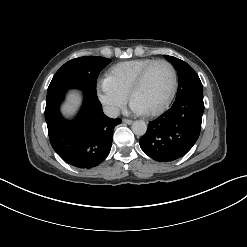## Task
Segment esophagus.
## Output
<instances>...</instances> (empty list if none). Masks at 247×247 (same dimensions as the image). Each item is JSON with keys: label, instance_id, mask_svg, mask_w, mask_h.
<instances>
[{"label": "esophagus", "instance_id": "esophagus-1", "mask_svg": "<svg viewBox=\"0 0 247 247\" xmlns=\"http://www.w3.org/2000/svg\"><path fill=\"white\" fill-rule=\"evenodd\" d=\"M122 122L125 123V124H128V125L133 123V121L130 120V119H123Z\"/></svg>", "mask_w": 247, "mask_h": 247}]
</instances>
